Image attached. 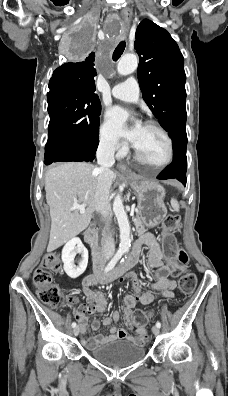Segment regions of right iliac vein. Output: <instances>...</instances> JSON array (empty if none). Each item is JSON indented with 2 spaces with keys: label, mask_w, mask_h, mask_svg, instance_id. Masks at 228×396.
Listing matches in <instances>:
<instances>
[{
  "label": "right iliac vein",
  "mask_w": 228,
  "mask_h": 396,
  "mask_svg": "<svg viewBox=\"0 0 228 396\" xmlns=\"http://www.w3.org/2000/svg\"><path fill=\"white\" fill-rule=\"evenodd\" d=\"M79 332H80L79 326L74 327V329H73V334H74L75 336H77V335L79 334Z\"/></svg>",
  "instance_id": "1"
}]
</instances>
